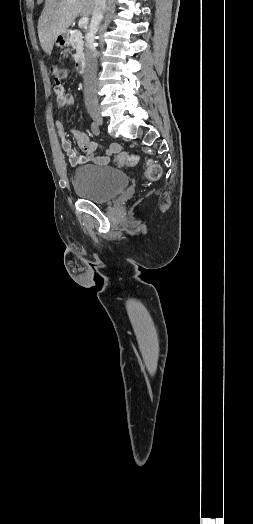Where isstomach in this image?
<instances>
[{
    "label": "stomach",
    "instance_id": "1",
    "mask_svg": "<svg viewBox=\"0 0 253 524\" xmlns=\"http://www.w3.org/2000/svg\"><path fill=\"white\" fill-rule=\"evenodd\" d=\"M67 44H68V41H67V34L66 33H63V34L57 36V38L55 40V45L57 47L63 48Z\"/></svg>",
    "mask_w": 253,
    "mask_h": 524
}]
</instances>
